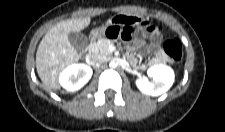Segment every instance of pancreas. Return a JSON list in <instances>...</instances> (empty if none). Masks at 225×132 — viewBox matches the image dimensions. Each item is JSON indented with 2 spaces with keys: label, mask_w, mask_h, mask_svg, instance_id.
Here are the masks:
<instances>
[{
  "label": "pancreas",
  "mask_w": 225,
  "mask_h": 132,
  "mask_svg": "<svg viewBox=\"0 0 225 132\" xmlns=\"http://www.w3.org/2000/svg\"><path fill=\"white\" fill-rule=\"evenodd\" d=\"M113 45V42L108 39H99L97 42H93L89 45V50L92 54L101 55L107 57L111 55L109 47Z\"/></svg>",
  "instance_id": "pancreas-1"
}]
</instances>
